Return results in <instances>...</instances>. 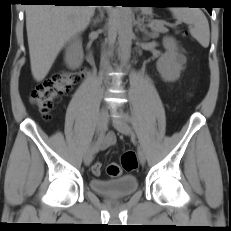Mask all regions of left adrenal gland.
<instances>
[{"label": "left adrenal gland", "instance_id": "a2214340", "mask_svg": "<svg viewBox=\"0 0 231 231\" xmlns=\"http://www.w3.org/2000/svg\"><path fill=\"white\" fill-rule=\"evenodd\" d=\"M138 29L145 35V37H151V34L148 32L141 20L138 21Z\"/></svg>", "mask_w": 231, "mask_h": 231}]
</instances>
